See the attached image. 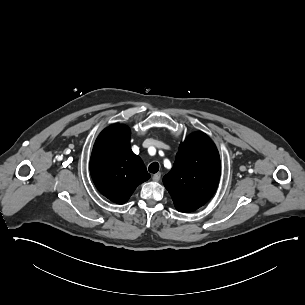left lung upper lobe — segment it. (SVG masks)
<instances>
[{
    "instance_id": "1",
    "label": "left lung upper lobe",
    "mask_w": 305,
    "mask_h": 305,
    "mask_svg": "<svg viewBox=\"0 0 305 305\" xmlns=\"http://www.w3.org/2000/svg\"><path fill=\"white\" fill-rule=\"evenodd\" d=\"M221 174L218 150L203 132L189 135L180 144L171 171L163 178L176 209L195 211L210 200Z\"/></svg>"
}]
</instances>
